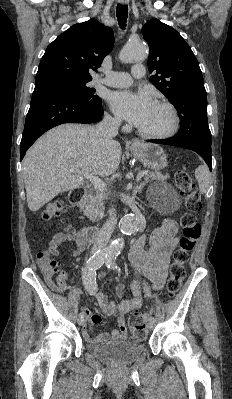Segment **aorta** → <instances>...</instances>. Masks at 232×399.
Instances as JSON below:
<instances>
[{
	"label": "aorta",
	"instance_id": "obj_1",
	"mask_svg": "<svg viewBox=\"0 0 232 399\" xmlns=\"http://www.w3.org/2000/svg\"><path fill=\"white\" fill-rule=\"evenodd\" d=\"M147 57V45L145 43L134 41L127 43L121 50L119 58L124 63L141 61ZM140 218L137 214H127L119 222L121 232L125 235H131L138 231ZM124 247L122 239L113 241L105 250L106 255L116 256L121 253Z\"/></svg>",
	"mask_w": 232,
	"mask_h": 399
}]
</instances>
